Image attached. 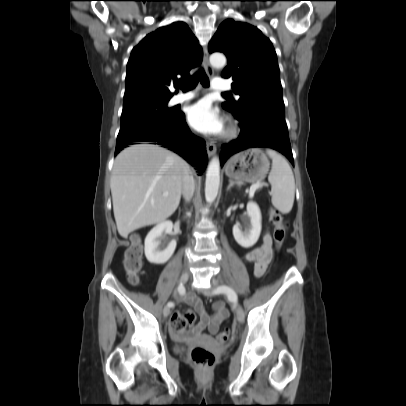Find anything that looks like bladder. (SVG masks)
Instances as JSON below:
<instances>
[{"label":"bladder","instance_id":"bladder-1","mask_svg":"<svg viewBox=\"0 0 406 406\" xmlns=\"http://www.w3.org/2000/svg\"><path fill=\"white\" fill-rule=\"evenodd\" d=\"M175 352L176 353H183L184 352V348L182 345H176L175 346Z\"/></svg>","mask_w":406,"mask_h":406}]
</instances>
